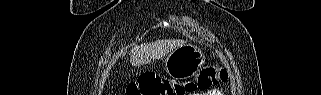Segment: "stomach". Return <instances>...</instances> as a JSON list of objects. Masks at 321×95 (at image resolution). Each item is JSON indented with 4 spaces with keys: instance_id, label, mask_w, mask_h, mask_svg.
<instances>
[{
    "instance_id": "1",
    "label": "stomach",
    "mask_w": 321,
    "mask_h": 95,
    "mask_svg": "<svg viewBox=\"0 0 321 95\" xmlns=\"http://www.w3.org/2000/svg\"><path fill=\"white\" fill-rule=\"evenodd\" d=\"M206 63L204 53L195 45L186 44L172 51L165 60L167 75L175 80L193 77Z\"/></svg>"
}]
</instances>
